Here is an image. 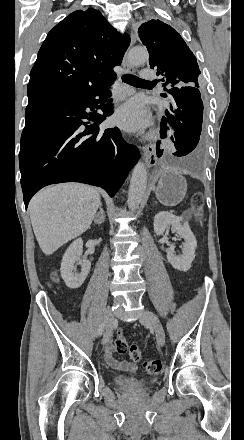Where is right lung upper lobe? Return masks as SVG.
<instances>
[{"mask_svg":"<svg viewBox=\"0 0 244 440\" xmlns=\"http://www.w3.org/2000/svg\"><path fill=\"white\" fill-rule=\"evenodd\" d=\"M130 44L94 8L77 10L47 35L31 70L28 98L79 94L111 80Z\"/></svg>","mask_w":244,"mask_h":440,"instance_id":"cb5924a9","label":"right lung upper lobe"}]
</instances>
